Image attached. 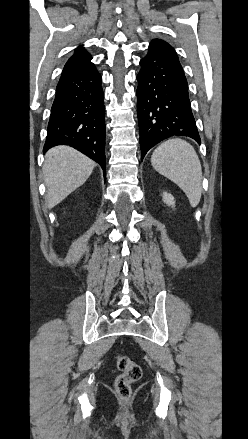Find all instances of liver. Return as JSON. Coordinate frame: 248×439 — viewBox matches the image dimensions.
<instances>
[{
	"label": "liver",
	"instance_id": "liver-1",
	"mask_svg": "<svg viewBox=\"0 0 248 439\" xmlns=\"http://www.w3.org/2000/svg\"><path fill=\"white\" fill-rule=\"evenodd\" d=\"M94 167V161L69 146L50 149L43 165L48 208H53L83 185Z\"/></svg>",
	"mask_w": 248,
	"mask_h": 439
}]
</instances>
